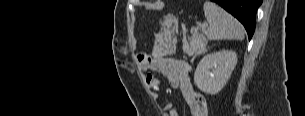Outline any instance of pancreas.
I'll use <instances>...</instances> for the list:
<instances>
[{
    "instance_id": "pancreas-1",
    "label": "pancreas",
    "mask_w": 305,
    "mask_h": 116,
    "mask_svg": "<svg viewBox=\"0 0 305 116\" xmlns=\"http://www.w3.org/2000/svg\"><path fill=\"white\" fill-rule=\"evenodd\" d=\"M190 46L184 45L183 51L188 56L201 55L206 52L207 39L203 34L193 32L189 39Z\"/></svg>"
}]
</instances>
